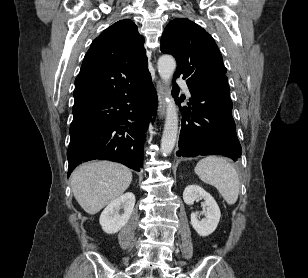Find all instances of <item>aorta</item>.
Listing matches in <instances>:
<instances>
[{
    "instance_id": "aorta-1",
    "label": "aorta",
    "mask_w": 308,
    "mask_h": 278,
    "mask_svg": "<svg viewBox=\"0 0 308 278\" xmlns=\"http://www.w3.org/2000/svg\"><path fill=\"white\" fill-rule=\"evenodd\" d=\"M157 65L161 79L168 86L176 69L175 59L170 55H163L158 59ZM166 103V120L161 139V153L164 156L172 152L178 133V115L174 99L168 96Z\"/></svg>"
}]
</instances>
